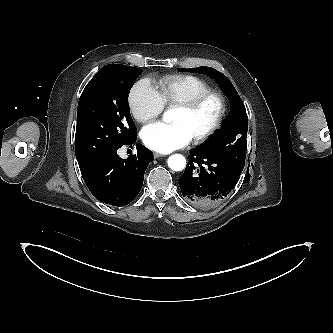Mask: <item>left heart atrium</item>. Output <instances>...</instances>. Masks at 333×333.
Instances as JSON below:
<instances>
[{
  "instance_id": "left-heart-atrium-1",
  "label": "left heart atrium",
  "mask_w": 333,
  "mask_h": 333,
  "mask_svg": "<svg viewBox=\"0 0 333 333\" xmlns=\"http://www.w3.org/2000/svg\"><path fill=\"white\" fill-rule=\"evenodd\" d=\"M141 139L143 144L149 149L161 153H169L187 146L192 140V136L181 123L166 124L156 122L142 129Z\"/></svg>"
}]
</instances>
